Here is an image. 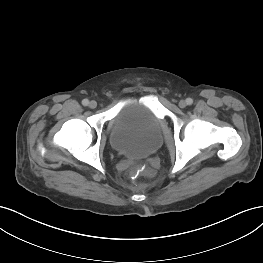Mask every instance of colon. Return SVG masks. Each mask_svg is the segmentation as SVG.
<instances>
[{
	"mask_svg": "<svg viewBox=\"0 0 263 263\" xmlns=\"http://www.w3.org/2000/svg\"><path fill=\"white\" fill-rule=\"evenodd\" d=\"M134 174L135 175H139V176H146L150 174V171H148L147 169H145L143 166H138L135 170H134Z\"/></svg>",
	"mask_w": 263,
	"mask_h": 263,
	"instance_id": "obj_1",
	"label": "colon"
}]
</instances>
